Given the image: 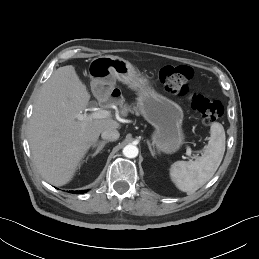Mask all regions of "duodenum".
Returning a JSON list of instances; mask_svg holds the SVG:
<instances>
[{"mask_svg":"<svg viewBox=\"0 0 259 259\" xmlns=\"http://www.w3.org/2000/svg\"><path fill=\"white\" fill-rule=\"evenodd\" d=\"M121 97V93L118 89H113L106 97L100 99V103L110 104L118 101Z\"/></svg>","mask_w":259,"mask_h":259,"instance_id":"duodenum-1","label":"duodenum"}]
</instances>
